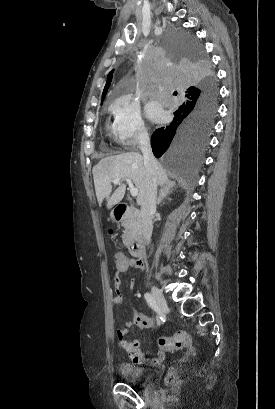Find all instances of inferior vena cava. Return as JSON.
<instances>
[{"instance_id": "1", "label": "inferior vena cava", "mask_w": 275, "mask_h": 409, "mask_svg": "<svg viewBox=\"0 0 275 409\" xmlns=\"http://www.w3.org/2000/svg\"><path fill=\"white\" fill-rule=\"evenodd\" d=\"M140 148L143 152L144 164L146 168V192L141 202V221L143 235L147 245H149L152 237L153 225L152 217L156 211V196H157V170L156 160L152 152L150 138L148 132L143 130L138 134Z\"/></svg>"}]
</instances>
